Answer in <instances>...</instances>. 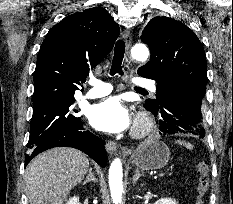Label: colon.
Instances as JSON below:
<instances>
[{
	"label": "colon",
	"instance_id": "colon-1",
	"mask_svg": "<svg viewBox=\"0 0 233 204\" xmlns=\"http://www.w3.org/2000/svg\"><path fill=\"white\" fill-rule=\"evenodd\" d=\"M196 174L198 176V198L197 204H202V199L210 189L209 165L207 161H199L196 165Z\"/></svg>",
	"mask_w": 233,
	"mask_h": 204
}]
</instances>
